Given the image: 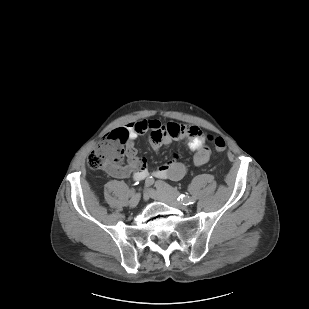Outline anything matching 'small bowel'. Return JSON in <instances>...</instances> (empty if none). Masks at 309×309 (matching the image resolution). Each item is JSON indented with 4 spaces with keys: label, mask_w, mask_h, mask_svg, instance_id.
Here are the masks:
<instances>
[{
    "label": "small bowel",
    "mask_w": 309,
    "mask_h": 309,
    "mask_svg": "<svg viewBox=\"0 0 309 309\" xmlns=\"http://www.w3.org/2000/svg\"><path fill=\"white\" fill-rule=\"evenodd\" d=\"M116 131L125 134L126 159L124 166L111 171L116 178L132 176L135 180H143L149 175L158 179L180 180L187 172V165L177 158L150 171L145 158L137 156L135 140L142 134H148V140L154 150L175 140H184L188 149L193 153L192 165L202 167L210 157V150L205 144V134L194 125L185 126L178 122L162 124L159 120L142 119L132 122Z\"/></svg>",
    "instance_id": "c3829d8e"
}]
</instances>
